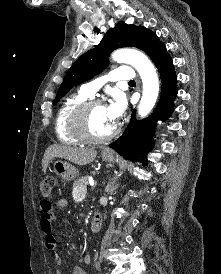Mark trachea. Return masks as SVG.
Instances as JSON below:
<instances>
[{"instance_id": "3493384b", "label": "trachea", "mask_w": 221, "mask_h": 274, "mask_svg": "<svg viewBox=\"0 0 221 274\" xmlns=\"http://www.w3.org/2000/svg\"><path fill=\"white\" fill-rule=\"evenodd\" d=\"M129 83H130V84H134V83H135V81H134V80H132V81H130Z\"/></svg>"}]
</instances>
